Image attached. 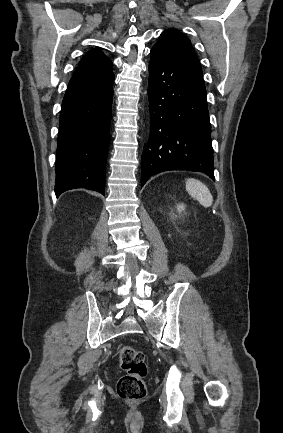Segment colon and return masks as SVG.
I'll return each instance as SVG.
<instances>
[{"label":"colon","instance_id":"obj_1","mask_svg":"<svg viewBox=\"0 0 283 433\" xmlns=\"http://www.w3.org/2000/svg\"><path fill=\"white\" fill-rule=\"evenodd\" d=\"M119 364L124 374L117 383V394L123 400L137 401L146 395L144 378L147 366L144 354L131 345H124L119 350Z\"/></svg>","mask_w":283,"mask_h":433}]
</instances>
